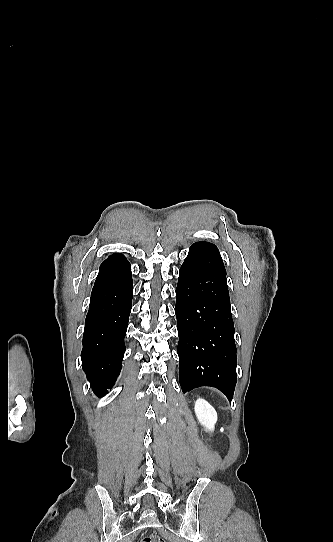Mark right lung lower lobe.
Returning <instances> with one entry per match:
<instances>
[{"label": "right lung lower lobe", "instance_id": "right-lung-lower-lobe-1", "mask_svg": "<svg viewBox=\"0 0 333 542\" xmlns=\"http://www.w3.org/2000/svg\"><path fill=\"white\" fill-rule=\"evenodd\" d=\"M132 295L129 262L122 254L109 256L92 289L81 352L82 368L99 397L112 388L122 367Z\"/></svg>", "mask_w": 333, "mask_h": 542}]
</instances>
